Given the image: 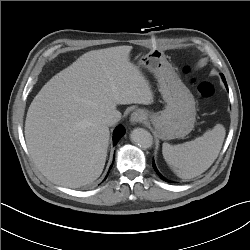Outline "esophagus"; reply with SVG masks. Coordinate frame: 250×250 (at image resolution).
Listing matches in <instances>:
<instances>
[{
	"label": "esophagus",
	"instance_id": "esophagus-1",
	"mask_svg": "<svg viewBox=\"0 0 250 250\" xmlns=\"http://www.w3.org/2000/svg\"><path fill=\"white\" fill-rule=\"evenodd\" d=\"M144 120V113L141 110L134 111L130 116L131 124H137Z\"/></svg>",
	"mask_w": 250,
	"mask_h": 250
}]
</instances>
